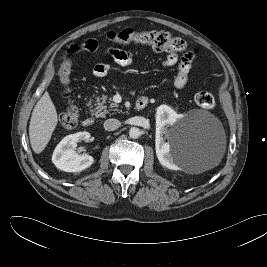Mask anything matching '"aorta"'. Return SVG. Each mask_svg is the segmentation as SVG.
Segmentation results:
<instances>
[{
  "instance_id": "1",
  "label": "aorta",
  "mask_w": 267,
  "mask_h": 267,
  "mask_svg": "<svg viewBox=\"0 0 267 267\" xmlns=\"http://www.w3.org/2000/svg\"><path fill=\"white\" fill-rule=\"evenodd\" d=\"M141 135V131L139 128L137 127H132L130 130H129V136L133 139H136L138 138L139 136Z\"/></svg>"
}]
</instances>
